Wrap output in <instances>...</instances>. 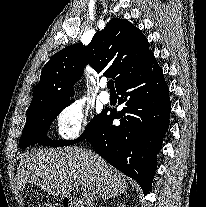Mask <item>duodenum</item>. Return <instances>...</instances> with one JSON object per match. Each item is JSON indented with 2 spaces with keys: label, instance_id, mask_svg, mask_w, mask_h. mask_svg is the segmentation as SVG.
I'll return each mask as SVG.
<instances>
[{
  "label": "duodenum",
  "instance_id": "duodenum-1",
  "mask_svg": "<svg viewBox=\"0 0 206 207\" xmlns=\"http://www.w3.org/2000/svg\"><path fill=\"white\" fill-rule=\"evenodd\" d=\"M65 207H78V206L76 205L74 199H72V198H68V199H67V204H66Z\"/></svg>",
  "mask_w": 206,
  "mask_h": 207
}]
</instances>
